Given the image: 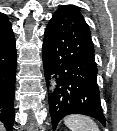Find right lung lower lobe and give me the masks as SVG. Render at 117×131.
I'll list each match as a JSON object with an SVG mask.
<instances>
[{
	"instance_id": "right-lung-lower-lobe-1",
	"label": "right lung lower lobe",
	"mask_w": 117,
	"mask_h": 131,
	"mask_svg": "<svg viewBox=\"0 0 117 131\" xmlns=\"http://www.w3.org/2000/svg\"><path fill=\"white\" fill-rule=\"evenodd\" d=\"M16 63V43L10 25L0 31V120L8 131L12 130L15 118L13 101Z\"/></svg>"
}]
</instances>
